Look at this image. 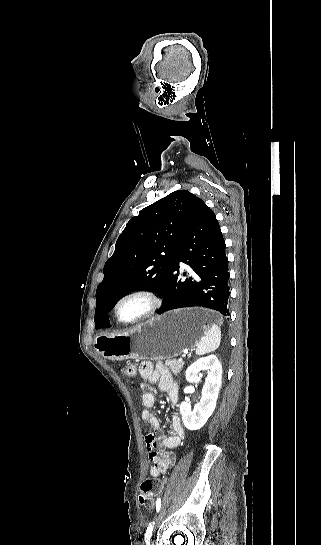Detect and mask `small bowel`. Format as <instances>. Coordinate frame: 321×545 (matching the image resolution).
<instances>
[{"label":"small bowel","mask_w":321,"mask_h":545,"mask_svg":"<svg viewBox=\"0 0 321 545\" xmlns=\"http://www.w3.org/2000/svg\"><path fill=\"white\" fill-rule=\"evenodd\" d=\"M139 373L142 380L140 383L141 399L145 407L141 417L151 427V431L145 435L149 460L153 463L149 472L152 477L157 478L166 474L174 463L175 454L172 450L181 444L185 432L179 417L173 414L169 418L168 434L165 437L160 435V423L150 411L155 404V396L150 390H147L146 385L147 383H158L159 390L168 395L171 404L178 401V386L173 381L169 370L161 363L154 366L149 361L142 362Z\"/></svg>","instance_id":"obj_1"}]
</instances>
